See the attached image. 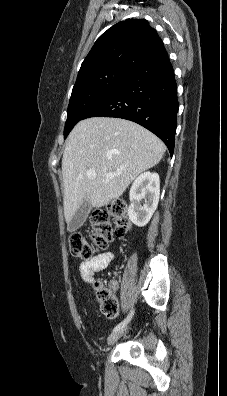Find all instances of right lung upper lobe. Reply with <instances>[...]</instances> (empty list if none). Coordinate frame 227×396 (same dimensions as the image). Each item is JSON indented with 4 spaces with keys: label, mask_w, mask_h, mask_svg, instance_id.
Wrapping results in <instances>:
<instances>
[{
    "label": "right lung upper lobe",
    "mask_w": 227,
    "mask_h": 396,
    "mask_svg": "<svg viewBox=\"0 0 227 396\" xmlns=\"http://www.w3.org/2000/svg\"><path fill=\"white\" fill-rule=\"evenodd\" d=\"M162 49V40L146 20L121 21L97 39L81 65L76 83L111 68L133 70Z\"/></svg>",
    "instance_id": "cb5924a9"
}]
</instances>
